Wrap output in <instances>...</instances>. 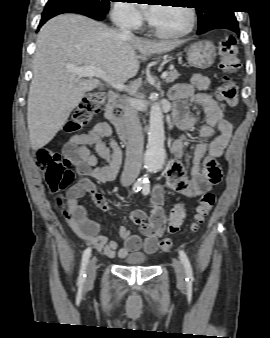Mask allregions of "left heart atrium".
<instances>
[{"instance_id": "39dd6f15", "label": "left heart atrium", "mask_w": 270, "mask_h": 338, "mask_svg": "<svg viewBox=\"0 0 270 338\" xmlns=\"http://www.w3.org/2000/svg\"><path fill=\"white\" fill-rule=\"evenodd\" d=\"M157 11H158V7H152L148 12H147V18L152 21L156 14H157Z\"/></svg>"}]
</instances>
